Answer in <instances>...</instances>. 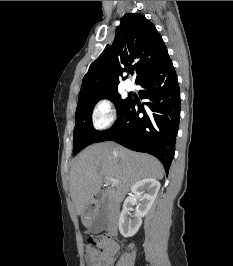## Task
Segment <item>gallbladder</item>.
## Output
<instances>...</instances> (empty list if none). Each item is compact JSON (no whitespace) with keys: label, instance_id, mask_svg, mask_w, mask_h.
Masks as SVG:
<instances>
[{"label":"gallbladder","instance_id":"obj_1","mask_svg":"<svg viewBox=\"0 0 233 266\" xmlns=\"http://www.w3.org/2000/svg\"><path fill=\"white\" fill-rule=\"evenodd\" d=\"M107 223L108 212L106 206L103 204L88 226V231L94 234L100 233L106 228Z\"/></svg>","mask_w":233,"mask_h":266}]
</instances>
